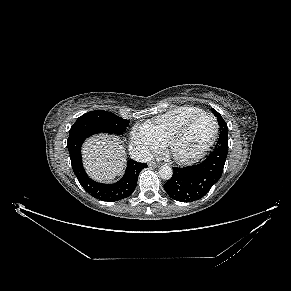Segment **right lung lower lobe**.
<instances>
[{"instance_id":"right-lung-lower-lobe-1","label":"right lung lower lobe","mask_w":291,"mask_h":291,"mask_svg":"<svg viewBox=\"0 0 291 291\" xmlns=\"http://www.w3.org/2000/svg\"><path fill=\"white\" fill-rule=\"evenodd\" d=\"M102 131L91 124L73 125L69 132L67 147L73 171L82 187L93 197L104 201H117L129 197L136 188L139 173L147 164L134 160L127 162L124 176L116 183H98L86 174L81 157V145L91 135Z\"/></svg>"}]
</instances>
